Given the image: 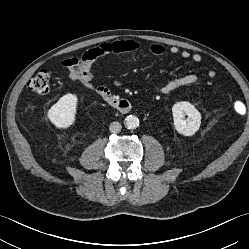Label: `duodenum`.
<instances>
[{
	"label": "duodenum",
	"mask_w": 249,
	"mask_h": 249,
	"mask_svg": "<svg viewBox=\"0 0 249 249\" xmlns=\"http://www.w3.org/2000/svg\"><path fill=\"white\" fill-rule=\"evenodd\" d=\"M102 98L120 113H128L132 109V103L129 100L116 96L110 91L104 93Z\"/></svg>",
	"instance_id": "410a0bca"
}]
</instances>
